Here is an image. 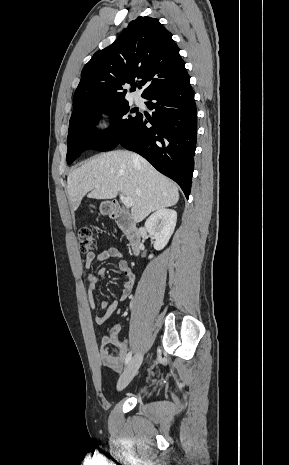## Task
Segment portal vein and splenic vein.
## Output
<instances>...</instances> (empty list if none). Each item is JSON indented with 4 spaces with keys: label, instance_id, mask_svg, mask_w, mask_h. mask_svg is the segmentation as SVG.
<instances>
[{
    "label": "portal vein and splenic vein",
    "instance_id": "portal-vein-and-splenic-vein-1",
    "mask_svg": "<svg viewBox=\"0 0 289 465\" xmlns=\"http://www.w3.org/2000/svg\"><path fill=\"white\" fill-rule=\"evenodd\" d=\"M120 200H121L122 204L127 208L132 207L133 204H134L132 198L127 197V196H125L123 194H120Z\"/></svg>",
    "mask_w": 289,
    "mask_h": 465
}]
</instances>
